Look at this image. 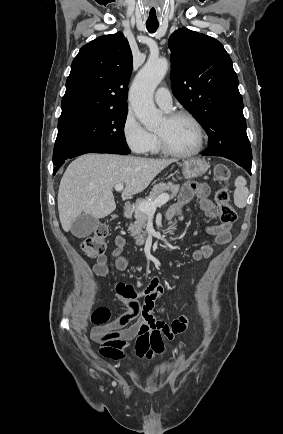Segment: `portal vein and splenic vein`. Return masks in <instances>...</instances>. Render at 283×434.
<instances>
[{"mask_svg": "<svg viewBox=\"0 0 283 434\" xmlns=\"http://www.w3.org/2000/svg\"><path fill=\"white\" fill-rule=\"evenodd\" d=\"M115 190L120 192L123 190V184H117L115 185ZM170 199V196L167 193L162 194L158 198H156L154 201H147L142 202L139 204V209L142 212H145L147 214L154 213L156 211V208L159 206H162L166 204Z\"/></svg>", "mask_w": 283, "mask_h": 434, "instance_id": "1", "label": "portal vein and splenic vein"}]
</instances>
